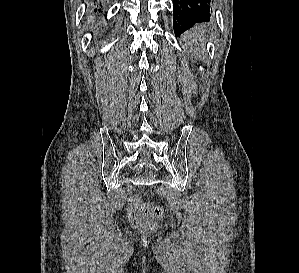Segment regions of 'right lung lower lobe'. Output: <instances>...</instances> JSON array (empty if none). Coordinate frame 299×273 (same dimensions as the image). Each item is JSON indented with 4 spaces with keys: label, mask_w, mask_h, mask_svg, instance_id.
<instances>
[{
    "label": "right lung lower lobe",
    "mask_w": 299,
    "mask_h": 273,
    "mask_svg": "<svg viewBox=\"0 0 299 273\" xmlns=\"http://www.w3.org/2000/svg\"><path fill=\"white\" fill-rule=\"evenodd\" d=\"M103 0H94L93 12L100 13L102 12V2Z\"/></svg>",
    "instance_id": "right-lung-lower-lobe-1"
}]
</instances>
